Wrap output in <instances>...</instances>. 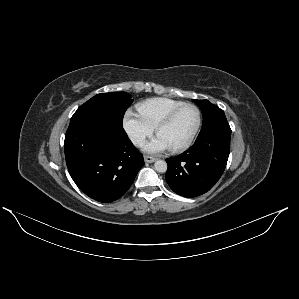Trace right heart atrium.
Segmentation results:
<instances>
[{"instance_id": "1", "label": "right heart atrium", "mask_w": 299, "mask_h": 299, "mask_svg": "<svg viewBox=\"0 0 299 299\" xmlns=\"http://www.w3.org/2000/svg\"><path fill=\"white\" fill-rule=\"evenodd\" d=\"M123 127L130 140L137 146L142 145L155 130L138 113L131 110L127 111L124 115Z\"/></svg>"}]
</instances>
